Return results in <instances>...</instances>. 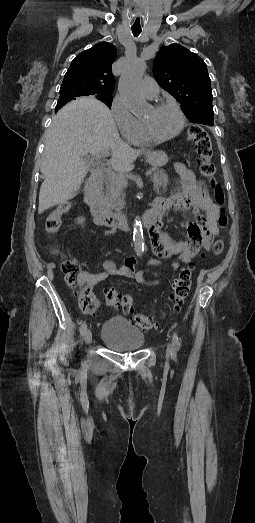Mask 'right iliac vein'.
I'll list each match as a JSON object with an SVG mask.
<instances>
[{
  "label": "right iliac vein",
  "mask_w": 255,
  "mask_h": 523,
  "mask_svg": "<svg viewBox=\"0 0 255 523\" xmlns=\"http://www.w3.org/2000/svg\"><path fill=\"white\" fill-rule=\"evenodd\" d=\"M84 339L87 345H89L92 341V333L89 329H87L84 333Z\"/></svg>",
  "instance_id": "right-iliac-vein-1"
}]
</instances>
